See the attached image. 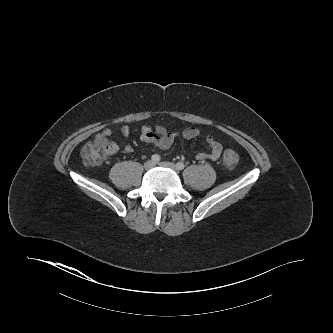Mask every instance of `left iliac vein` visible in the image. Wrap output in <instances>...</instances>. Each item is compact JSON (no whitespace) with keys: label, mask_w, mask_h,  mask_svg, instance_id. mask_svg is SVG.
Wrapping results in <instances>:
<instances>
[{"label":"left iliac vein","mask_w":333,"mask_h":333,"mask_svg":"<svg viewBox=\"0 0 333 333\" xmlns=\"http://www.w3.org/2000/svg\"><path fill=\"white\" fill-rule=\"evenodd\" d=\"M159 165L162 166V167L170 168V169H172L175 172H178V168H177V166L174 163H171V162H160Z\"/></svg>","instance_id":"left-iliac-vein-1"}]
</instances>
